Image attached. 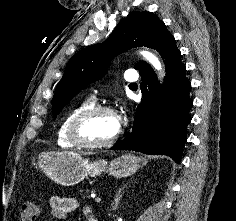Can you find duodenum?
I'll list each match as a JSON object with an SVG mask.
<instances>
[{
  "label": "duodenum",
  "mask_w": 236,
  "mask_h": 221,
  "mask_svg": "<svg viewBox=\"0 0 236 221\" xmlns=\"http://www.w3.org/2000/svg\"><path fill=\"white\" fill-rule=\"evenodd\" d=\"M88 221H99L97 218H95L94 216H90L88 218Z\"/></svg>",
  "instance_id": "obj_1"
}]
</instances>
